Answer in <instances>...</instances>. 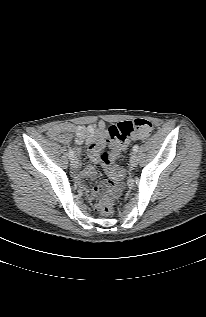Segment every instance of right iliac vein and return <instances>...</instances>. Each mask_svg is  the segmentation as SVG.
<instances>
[{
  "instance_id": "63e3f726",
  "label": "right iliac vein",
  "mask_w": 206,
  "mask_h": 317,
  "mask_svg": "<svg viewBox=\"0 0 206 317\" xmlns=\"http://www.w3.org/2000/svg\"><path fill=\"white\" fill-rule=\"evenodd\" d=\"M71 166L73 167V168H77L78 167V162H77V160L76 159H72L71 160Z\"/></svg>"
}]
</instances>
